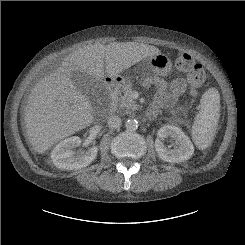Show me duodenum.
Instances as JSON below:
<instances>
[{
	"label": "duodenum",
	"instance_id": "410a0bca",
	"mask_svg": "<svg viewBox=\"0 0 245 245\" xmlns=\"http://www.w3.org/2000/svg\"><path fill=\"white\" fill-rule=\"evenodd\" d=\"M108 90L109 104L106 110L108 116H114L116 112V99L120 88L123 85V81L117 77H109L105 81Z\"/></svg>",
	"mask_w": 245,
	"mask_h": 245
}]
</instances>
